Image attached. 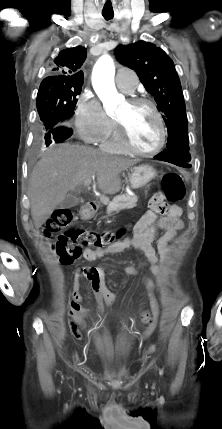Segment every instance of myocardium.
<instances>
[{
	"label": "myocardium",
	"mask_w": 222,
	"mask_h": 429,
	"mask_svg": "<svg viewBox=\"0 0 222 429\" xmlns=\"http://www.w3.org/2000/svg\"><path fill=\"white\" fill-rule=\"evenodd\" d=\"M128 103L132 106H139V105L147 106L152 111L158 123L160 135H159V143L153 150L142 151L136 148L131 142L126 126L121 121L116 120L117 127H118V136L123 147L128 152L140 157H153L159 154L166 144L167 129H166L164 119L161 113L159 112L157 106L151 100L143 97H132L128 100Z\"/></svg>",
	"instance_id": "1"
}]
</instances>
